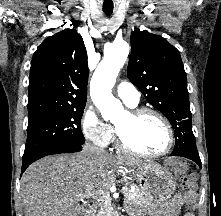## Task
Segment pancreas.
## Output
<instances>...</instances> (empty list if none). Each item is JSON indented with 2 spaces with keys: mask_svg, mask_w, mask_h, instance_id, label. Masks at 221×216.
Masks as SVG:
<instances>
[{
  "mask_svg": "<svg viewBox=\"0 0 221 216\" xmlns=\"http://www.w3.org/2000/svg\"><path fill=\"white\" fill-rule=\"evenodd\" d=\"M130 190V189H129ZM125 208L130 209L129 207L132 205H144L148 203V200L142 195L140 189L135 187L134 192H125ZM104 201V200H103ZM114 211L113 207L109 202H102L100 204V209L98 211L92 212L90 216H113Z\"/></svg>",
  "mask_w": 221,
  "mask_h": 216,
  "instance_id": "obj_1",
  "label": "pancreas"
}]
</instances>
